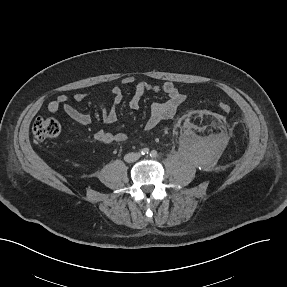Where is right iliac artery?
Returning <instances> with one entry per match:
<instances>
[{"instance_id": "1", "label": "right iliac artery", "mask_w": 287, "mask_h": 287, "mask_svg": "<svg viewBox=\"0 0 287 287\" xmlns=\"http://www.w3.org/2000/svg\"><path fill=\"white\" fill-rule=\"evenodd\" d=\"M141 155H148L149 154V149L148 148H143L140 150Z\"/></svg>"}]
</instances>
